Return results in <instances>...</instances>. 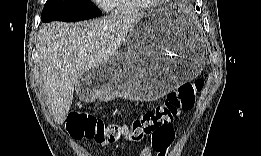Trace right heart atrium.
Masks as SVG:
<instances>
[{
  "label": "right heart atrium",
  "mask_w": 261,
  "mask_h": 156,
  "mask_svg": "<svg viewBox=\"0 0 261 156\" xmlns=\"http://www.w3.org/2000/svg\"><path fill=\"white\" fill-rule=\"evenodd\" d=\"M109 1H110V0H100V1H99V5H100L102 8H104L105 10H111L112 7H111Z\"/></svg>",
  "instance_id": "right-heart-atrium-1"
}]
</instances>
